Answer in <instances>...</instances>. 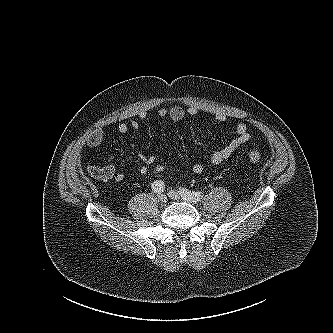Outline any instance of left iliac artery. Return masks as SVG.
<instances>
[{
	"label": "left iliac artery",
	"mask_w": 333,
	"mask_h": 333,
	"mask_svg": "<svg viewBox=\"0 0 333 333\" xmlns=\"http://www.w3.org/2000/svg\"><path fill=\"white\" fill-rule=\"evenodd\" d=\"M180 192L183 193L189 199H191L193 202H198L203 198L202 192L190 191L186 188L180 189Z\"/></svg>",
	"instance_id": "left-iliac-artery-1"
}]
</instances>
